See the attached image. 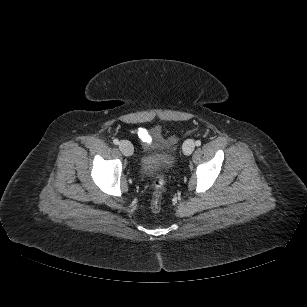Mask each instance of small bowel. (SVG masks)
<instances>
[{"label": "small bowel", "instance_id": "c3829d8e", "mask_svg": "<svg viewBox=\"0 0 307 307\" xmlns=\"http://www.w3.org/2000/svg\"><path fill=\"white\" fill-rule=\"evenodd\" d=\"M157 130L149 131L146 128H138L136 130V134L138 135L139 139L143 142V144L147 147L153 144V134H156Z\"/></svg>", "mask_w": 307, "mask_h": 307}]
</instances>
